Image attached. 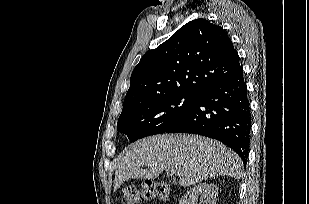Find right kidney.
I'll return each instance as SVG.
<instances>
[{"label": "right kidney", "instance_id": "1", "mask_svg": "<svg viewBox=\"0 0 309 204\" xmlns=\"http://www.w3.org/2000/svg\"><path fill=\"white\" fill-rule=\"evenodd\" d=\"M199 195L204 196L203 204H216L218 188L212 183H199L184 194L180 199L179 204H196Z\"/></svg>", "mask_w": 309, "mask_h": 204}]
</instances>
